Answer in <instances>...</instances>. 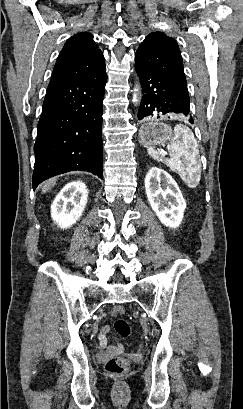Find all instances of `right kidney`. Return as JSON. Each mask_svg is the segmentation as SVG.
<instances>
[{
  "mask_svg": "<svg viewBox=\"0 0 243 409\" xmlns=\"http://www.w3.org/2000/svg\"><path fill=\"white\" fill-rule=\"evenodd\" d=\"M87 197L88 190L83 182L68 183L51 205L52 219L63 229L71 227L81 217Z\"/></svg>",
  "mask_w": 243,
  "mask_h": 409,
  "instance_id": "right-kidney-1",
  "label": "right kidney"
}]
</instances>
